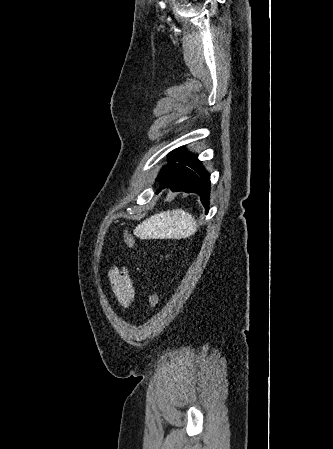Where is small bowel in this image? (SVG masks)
Returning <instances> with one entry per match:
<instances>
[{"instance_id":"1","label":"small bowel","mask_w":333,"mask_h":449,"mask_svg":"<svg viewBox=\"0 0 333 449\" xmlns=\"http://www.w3.org/2000/svg\"><path fill=\"white\" fill-rule=\"evenodd\" d=\"M111 288L115 299L124 308L132 306L134 301V288L126 270L114 268L109 273Z\"/></svg>"}]
</instances>
